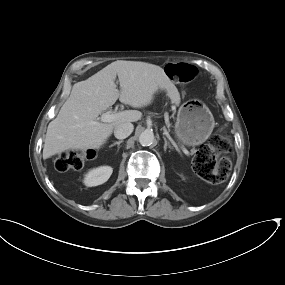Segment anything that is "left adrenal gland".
<instances>
[{"label": "left adrenal gland", "instance_id": "left-adrenal-gland-1", "mask_svg": "<svg viewBox=\"0 0 285 285\" xmlns=\"http://www.w3.org/2000/svg\"><path fill=\"white\" fill-rule=\"evenodd\" d=\"M167 148L172 149L173 147L170 145V143L167 141V139L164 137V151L166 152Z\"/></svg>", "mask_w": 285, "mask_h": 285}]
</instances>
